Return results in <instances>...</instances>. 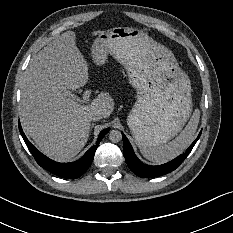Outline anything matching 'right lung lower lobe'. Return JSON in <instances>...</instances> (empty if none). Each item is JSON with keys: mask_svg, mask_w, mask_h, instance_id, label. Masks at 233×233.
Listing matches in <instances>:
<instances>
[{"mask_svg": "<svg viewBox=\"0 0 233 233\" xmlns=\"http://www.w3.org/2000/svg\"><path fill=\"white\" fill-rule=\"evenodd\" d=\"M19 130L20 133L25 140L30 152L34 156L37 163L43 167L44 169L48 170L49 172L63 178H69V179H76L80 177L91 165L95 151L102 140V138L109 132L110 128L104 129L100 132L98 136V140L95 146H92L85 155L72 163H58L55 162L45 155H43L41 152H39L26 138L25 134L23 133V130L21 128V125L19 123Z\"/></svg>", "mask_w": 233, "mask_h": 233, "instance_id": "right-lung-lower-lobe-1", "label": "right lung lower lobe"}]
</instances>
